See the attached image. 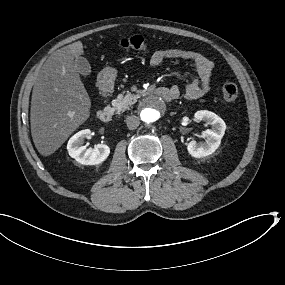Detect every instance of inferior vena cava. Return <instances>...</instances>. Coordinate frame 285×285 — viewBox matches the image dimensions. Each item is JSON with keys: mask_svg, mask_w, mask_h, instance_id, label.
<instances>
[{"mask_svg": "<svg viewBox=\"0 0 285 285\" xmlns=\"http://www.w3.org/2000/svg\"><path fill=\"white\" fill-rule=\"evenodd\" d=\"M126 124L130 130H134L139 126V118L135 115L127 116Z\"/></svg>", "mask_w": 285, "mask_h": 285, "instance_id": "602c4592", "label": "inferior vena cava"}]
</instances>
